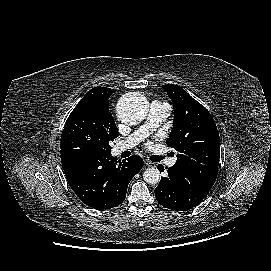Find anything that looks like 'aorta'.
I'll use <instances>...</instances> for the list:
<instances>
[{
    "instance_id": "762f6f07",
    "label": "aorta",
    "mask_w": 271,
    "mask_h": 271,
    "mask_svg": "<svg viewBox=\"0 0 271 271\" xmlns=\"http://www.w3.org/2000/svg\"><path fill=\"white\" fill-rule=\"evenodd\" d=\"M148 105L144 97L140 95H126L121 98L118 106L119 118L127 124H136L147 115ZM144 180L151 185L157 184L160 179V171L156 167H149L143 173Z\"/></svg>"
}]
</instances>
